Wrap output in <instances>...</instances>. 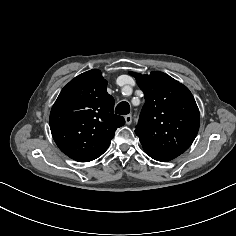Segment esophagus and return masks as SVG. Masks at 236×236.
Listing matches in <instances>:
<instances>
[{
	"mask_svg": "<svg viewBox=\"0 0 236 236\" xmlns=\"http://www.w3.org/2000/svg\"><path fill=\"white\" fill-rule=\"evenodd\" d=\"M125 122L127 125H130L132 123V116L130 114L125 116Z\"/></svg>",
	"mask_w": 236,
	"mask_h": 236,
	"instance_id": "obj_1",
	"label": "esophagus"
}]
</instances>
